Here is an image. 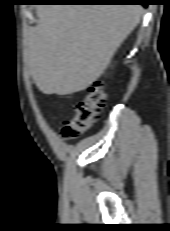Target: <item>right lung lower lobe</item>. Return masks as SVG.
<instances>
[{
  "mask_svg": "<svg viewBox=\"0 0 170 231\" xmlns=\"http://www.w3.org/2000/svg\"><path fill=\"white\" fill-rule=\"evenodd\" d=\"M42 3H139L147 6L146 0H34Z\"/></svg>",
  "mask_w": 170,
  "mask_h": 231,
  "instance_id": "98d812e1",
  "label": "right lung lower lobe"
}]
</instances>
